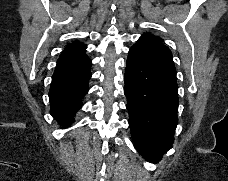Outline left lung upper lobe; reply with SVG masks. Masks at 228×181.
<instances>
[{
  "label": "left lung upper lobe",
  "instance_id": "5c2ea615",
  "mask_svg": "<svg viewBox=\"0 0 228 181\" xmlns=\"http://www.w3.org/2000/svg\"><path fill=\"white\" fill-rule=\"evenodd\" d=\"M142 37H148V38H153V39H156V40H159V41H162V39L161 38H159V37H156V36H153V35H151V34H143V36Z\"/></svg>",
  "mask_w": 228,
  "mask_h": 181
}]
</instances>
